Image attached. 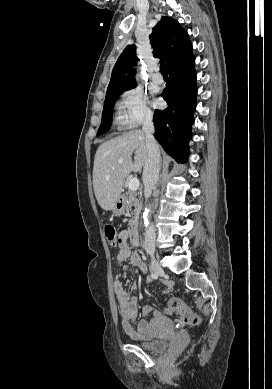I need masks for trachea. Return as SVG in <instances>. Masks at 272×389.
<instances>
[{"label": "trachea", "mask_w": 272, "mask_h": 389, "mask_svg": "<svg viewBox=\"0 0 272 389\" xmlns=\"http://www.w3.org/2000/svg\"><path fill=\"white\" fill-rule=\"evenodd\" d=\"M160 72H161V74L164 75V76H167V75H168V73H167V68H166V65H165V64H161V65H160Z\"/></svg>", "instance_id": "1"}]
</instances>
